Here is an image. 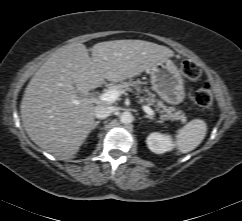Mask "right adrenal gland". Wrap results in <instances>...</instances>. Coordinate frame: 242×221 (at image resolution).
<instances>
[{"label": "right adrenal gland", "instance_id": "1", "mask_svg": "<svg viewBox=\"0 0 242 221\" xmlns=\"http://www.w3.org/2000/svg\"><path fill=\"white\" fill-rule=\"evenodd\" d=\"M99 124H100V121H96V122L94 123L93 129L97 128V126H98Z\"/></svg>", "mask_w": 242, "mask_h": 221}]
</instances>
